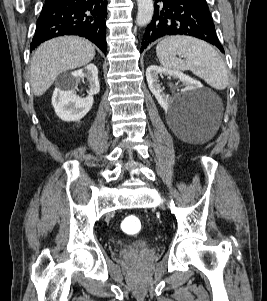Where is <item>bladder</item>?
I'll return each instance as SVG.
<instances>
[{
	"label": "bladder",
	"instance_id": "bladder-1",
	"mask_svg": "<svg viewBox=\"0 0 267 301\" xmlns=\"http://www.w3.org/2000/svg\"><path fill=\"white\" fill-rule=\"evenodd\" d=\"M149 245V241L147 239L141 238L136 243L135 246L138 248H143Z\"/></svg>",
	"mask_w": 267,
	"mask_h": 301
}]
</instances>
